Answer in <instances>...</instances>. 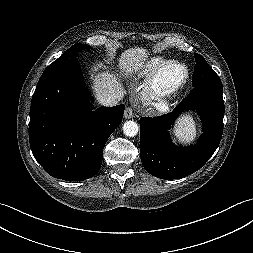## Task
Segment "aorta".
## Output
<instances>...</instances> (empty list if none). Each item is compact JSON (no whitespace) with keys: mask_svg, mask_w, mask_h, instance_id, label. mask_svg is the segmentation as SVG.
I'll return each instance as SVG.
<instances>
[{"mask_svg":"<svg viewBox=\"0 0 253 253\" xmlns=\"http://www.w3.org/2000/svg\"><path fill=\"white\" fill-rule=\"evenodd\" d=\"M139 132V126L135 121H126L123 125V133L128 137H134Z\"/></svg>","mask_w":253,"mask_h":253,"instance_id":"aorta-1","label":"aorta"}]
</instances>
